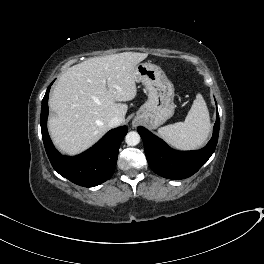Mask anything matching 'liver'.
Here are the masks:
<instances>
[{
    "label": "liver",
    "instance_id": "liver-1",
    "mask_svg": "<svg viewBox=\"0 0 264 264\" xmlns=\"http://www.w3.org/2000/svg\"><path fill=\"white\" fill-rule=\"evenodd\" d=\"M147 56L123 52L89 58L60 76L49 98L54 115L48 119L59 151L81 153L109 131L113 117L125 121L128 106L122 102L135 98V67Z\"/></svg>",
    "mask_w": 264,
    "mask_h": 264
}]
</instances>
